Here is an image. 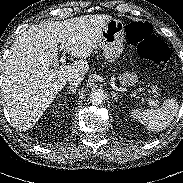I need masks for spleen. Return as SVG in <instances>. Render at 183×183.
Segmentation results:
<instances>
[{
  "mask_svg": "<svg viewBox=\"0 0 183 183\" xmlns=\"http://www.w3.org/2000/svg\"><path fill=\"white\" fill-rule=\"evenodd\" d=\"M179 104L176 98H168L158 109H134L132 116L148 130L160 132L166 129L177 115Z\"/></svg>",
  "mask_w": 183,
  "mask_h": 183,
  "instance_id": "3e777b00",
  "label": "spleen"
}]
</instances>
